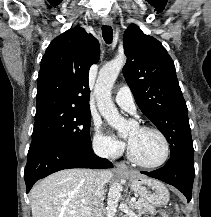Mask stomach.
<instances>
[{"label":"stomach","mask_w":211,"mask_h":217,"mask_svg":"<svg viewBox=\"0 0 211 217\" xmlns=\"http://www.w3.org/2000/svg\"><path fill=\"white\" fill-rule=\"evenodd\" d=\"M131 190L150 204L161 207L168 203L169 192L159 180L148 178L136 172L125 174Z\"/></svg>","instance_id":"stomach-1"}]
</instances>
